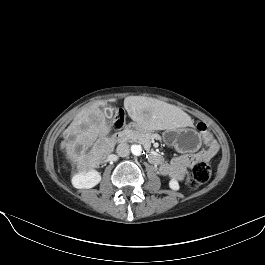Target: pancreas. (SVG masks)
Masks as SVG:
<instances>
[{
  "label": "pancreas",
  "instance_id": "pancreas-1",
  "mask_svg": "<svg viewBox=\"0 0 265 265\" xmlns=\"http://www.w3.org/2000/svg\"><path fill=\"white\" fill-rule=\"evenodd\" d=\"M127 139L141 143L147 149H149L151 146V141L155 139V137H154V134H151V133H142L138 131L129 130L127 132Z\"/></svg>",
  "mask_w": 265,
  "mask_h": 265
}]
</instances>
